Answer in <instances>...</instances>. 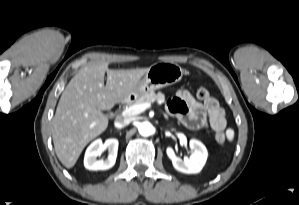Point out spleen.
I'll list each match as a JSON object with an SVG mask.
<instances>
[{"mask_svg": "<svg viewBox=\"0 0 299 205\" xmlns=\"http://www.w3.org/2000/svg\"><path fill=\"white\" fill-rule=\"evenodd\" d=\"M226 135L229 141H232L234 138V131L232 129H228L226 131Z\"/></svg>", "mask_w": 299, "mask_h": 205, "instance_id": "1", "label": "spleen"}]
</instances>
